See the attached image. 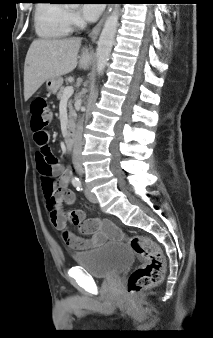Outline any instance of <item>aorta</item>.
I'll return each instance as SVG.
<instances>
[{
  "label": "aorta",
  "instance_id": "762f6f07",
  "mask_svg": "<svg viewBox=\"0 0 213 338\" xmlns=\"http://www.w3.org/2000/svg\"><path fill=\"white\" fill-rule=\"evenodd\" d=\"M118 19L119 11L118 8H115L106 19L99 36L96 49V71L98 75H101L104 72V69L108 64L117 31Z\"/></svg>",
  "mask_w": 213,
  "mask_h": 338
}]
</instances>
